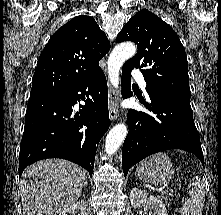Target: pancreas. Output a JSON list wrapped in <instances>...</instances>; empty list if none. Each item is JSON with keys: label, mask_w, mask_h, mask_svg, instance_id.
<instances>
[{"label": "pancreas", "mask_w": 221, "mask_h": 215, "mask_svg": "<svg viewBox=\"0 0 221 215\" xmlns=\"http://www.w3.org/2000/svg\"><path fill=\"white\" fill-rule=\"evenodd\" d=\"M164 200H165L166 204L170 205V203H171V199L170 198L164 197Z\"/></svg>", "instance_id": "obj_1"}]
</instances>
